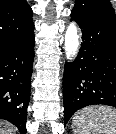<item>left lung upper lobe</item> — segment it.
<instances>
[{"instance_id":"1","label":"left lung upper lobe","mask_w":116,"mask_h":134,"mask_svg":"<svg viewBox=\"0 0 116 134\" xmlns=\"http://www.w3.org/2000/svg\"><path fill=\"white\" fill-rule=\"evenodd\" d=\"M74 11L98 13L116 19L115 11L109 0H76Z\"/></svg>"}]
</instances>
